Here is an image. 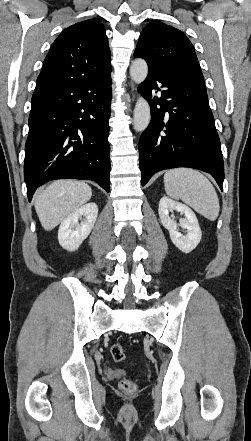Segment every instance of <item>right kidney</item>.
Wrapping results in <instances>:
<instances>
[{
	"label": "right kidney",
	"instance_id": "1",
	"mask_svg": "<svg viewBox=\"0 0 251 441\" xmlns=\"http://www.w3.org/2000/svg\"><path fill=\"white\" fill-rule=\"evenodd\" d=\"M97 216L98 206L95 203L85 204L70 213L59 227V244L68 251L77 250L93 229Z\"/></svg>",
	"mask_w": 251,
	"mask_h": 441
}]
</instances>
